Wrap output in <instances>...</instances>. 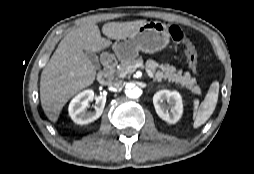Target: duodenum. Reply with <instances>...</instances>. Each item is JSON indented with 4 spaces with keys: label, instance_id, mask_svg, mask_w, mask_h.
I'll list each match as a JSON object with an SVG mask.
<instances>
[{
    "label": "duodenum",
    "instance_id": "1",
    "mask_svg": "<svg viewBox=\"0 0 254 174\" xmlns=\"http://www.w3.org/2000/svg\"><path fill=\"white\" fill-rule=\"evenodd\" d=\"M102 66V70L97 75V80L102 85H108L113 81L117 62L112 56H105L102 60Z\"/></svg>",
    "mask_w": 254,
    "mask_h": 174
}]
</instances>
